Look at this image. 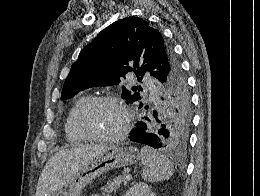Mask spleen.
<instances>
[{
	"instance_id": "1",
	"label": "spleen",
	"mask_w": 260,
	"mask_h": 196,
	"mask_svg": "<svg viewBox=\"0 0 260 196\" xmlns=\"http://www.w3.org/2000/svg\"><path fill=\"white\" fill-rule=\"evenodd\" d=\"M141 162L143 164V180L146 182H164L169 180L174 172V164L162 156L159 152H155L152 148H142Z\"/></svg>"
}]
</instances>
